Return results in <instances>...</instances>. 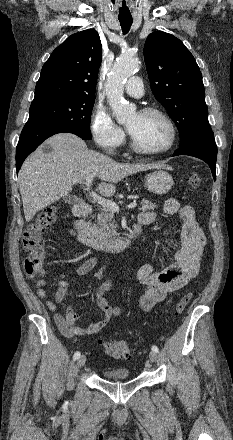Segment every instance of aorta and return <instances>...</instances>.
Instances as JSON below:
<instances>
[{"instance_id": "obj_1", "label": "aorta", "mask_w": 233, "mask_h": 440, "mask_svg": "<svg viewBox=\"0 0 233 440\" xmlns=\"http://www.w3.org/2000/svg\"><path fill=\"white\" fill-rule=\"evenodd\" d=\"M138 68V61L131 54H122L111 69L105 83V91L113 115L119 124L125 123L136 113V106L125 102L124 83Z\"/></svg>"}]
</instances>
